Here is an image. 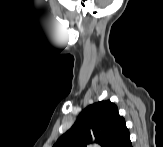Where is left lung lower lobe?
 <instances>
[{"label":"left lung lower lobe","instance_id":"left-lung-lower-lobe-1","mask_svg":"<svg viewBox=\"0 0 163 147\" xmlns=\"http://www.w3.org/2000/svg\"><path fill=\"white\" fill-rule=\"evenodd\" d=\"M114 147H132L129 130L127 129V127L121 133L120 137L114 144Z\"/></svg>","mask_w":163,"mask_h":147}]
</instances>
